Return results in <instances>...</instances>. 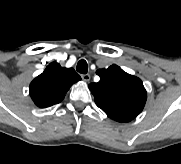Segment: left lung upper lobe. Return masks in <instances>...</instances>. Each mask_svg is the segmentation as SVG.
<instances>
[{
	"label": "left lung upper lobe",
	"instance_id": "5c2ea615",
	"mask_svg": "<svg viewBox=\"0 0 181 164\" xmlns=\"http://www.w3.org/2000/svg\"><path fill=\"white\" fill-rule=\"evenodd\" d=\"M98 83H91L89 89L96 105L109 118L118 122H129L138 116L145 105L147 93L142 81L123 71L117 65L99 69Z\"/></svg>",
	"mask_w": 181,
	"mask_h": 164
}]
</instances>
